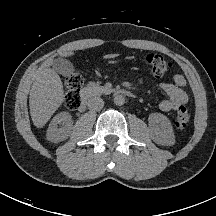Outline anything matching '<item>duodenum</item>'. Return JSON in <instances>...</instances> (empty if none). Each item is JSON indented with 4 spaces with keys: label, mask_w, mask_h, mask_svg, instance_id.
Returning a JSON list of instances; mask_svg holds the SVG:
<instances>
[{
    "label": "duodenum",
    "mask_w": 216,
    "mask_h": 216,
    "mask_svg": "<svg viewBox=\"0 0 216 216\" xmlns=\"http://www.w3.org/2000/svg\"><path fill=\"white\" fill-rule=\"evenodd\" d=\"M110 92L113 95H117V96H125V97H133L134 96L130 90L123 89V88H115V89H112ZM89 101H90L89 93L84 91L82 93V98H81V103H80L79 109L84 110L88 106Z\"/></svg>",
    "instance_id": "1"
}]
</instances>
